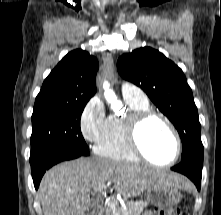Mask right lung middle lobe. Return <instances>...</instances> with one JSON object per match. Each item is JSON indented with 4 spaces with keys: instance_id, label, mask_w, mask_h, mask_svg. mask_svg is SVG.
I'll list each match as a JSON object with an SVG mask.
<instances>
[{
    "instance_id": "1",
    "label": "right lung middle lobe",
    "mask_w": 221,
    "mask_h": 215,
    "mask_svg": "<svg viewBox=\"0 0 221 215\" xmlns=\"http://www.w3.org/2000/svg\"><path fill=\"white\" fill-rule=\"evenodd\" d=\"M86 103L42 102L34 105L30 163L55 149H89L80 129Z\"/></svg>"
}]
</instances>
